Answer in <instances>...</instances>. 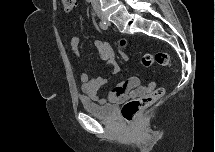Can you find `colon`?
I'll list each match as a JSON object with an SVG mask.
<instances>
[{"mask_svg": "<svg viewBox=\"0 0 215 152\" xmlns=\"http://www.w3.org/2000/svg\"><path fill=\"white\" fill-rule=\"evenodd\" d=\"M76 4V0H63V6L66 12L73 11ZM119 46L120 48H124L126 46V42H121ZM141 63L146 68H153L156 64L165 68H170L172 66L170 54L165 51H159L154 55L145 54L141 59ZM164 93L165 89L163 87H159L148 95L126 101L121 107L122 117L126 121H132L140 111L161 98Z\"/></svg>", "mask_w": 215, "mask_h": 152, "instance_id": "obj_1", "label": "colon"}]
</instances>
